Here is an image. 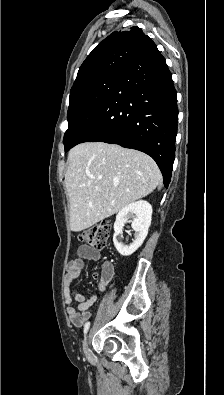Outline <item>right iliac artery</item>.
<instances>
[{
    "mask_svg": "<svg viewBox=\"0 0 224 395\" xmlns=\"http://www.w3.org/2000/svg\"><path fill=\"white\" fill-rule=\"evenodd\" d=\"M89 327H90V322H86L85 325H84V334L87 333Z\"/></svg>",
    "mask_w": 224,
    "mask_h": 395,
    "instance_id": "obj_1",
    "label": "right iliac artery"
}]
</instances>
